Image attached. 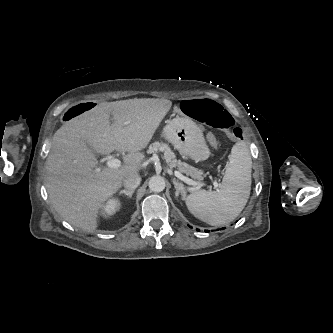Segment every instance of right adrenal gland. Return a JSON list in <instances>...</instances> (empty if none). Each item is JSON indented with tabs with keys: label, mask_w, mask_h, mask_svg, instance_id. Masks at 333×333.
<instances>
[{
	"label": "right adrenal gland",
	"mask_w": 333,
	"mask_h": 333,
	"mask_svg": "<svg viewBox=\"0 0 333 333\" xmlns=\"http://www.w3.org/2000/svg\"><path fill=\"white\" fill-rule=\"evenodd\" d=\"M133 193H134V190H121L119 192V195L124 194V195L128 196L129 198H132Z\"/></svg>",
	"instance_id": "2a0ac1e0"
}]
</instances>
